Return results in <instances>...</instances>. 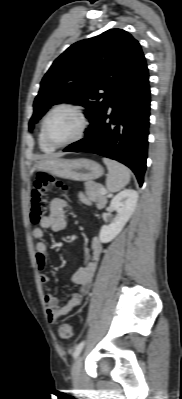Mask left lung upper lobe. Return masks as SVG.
<instances>
[{"label":"left lung upper lobe","instance_id":"1","mask_svg":"<svg viewBox=\"0 0 182 399\" xmlns=\"http://www.w3.org/2000/svg\"><path fill=\"white\" fill-rule=\"evenodd\" d=\"M145 63L138 41L122 29H110L74 43L43 77L29 130L50 106L62 102L84 106V114L92 124L114 92Z\"/></svg>","mask_w":182,"mask_h":399}]
</instances>
